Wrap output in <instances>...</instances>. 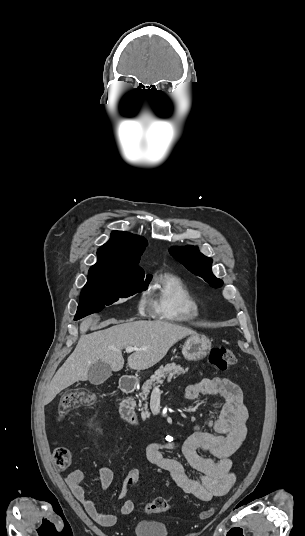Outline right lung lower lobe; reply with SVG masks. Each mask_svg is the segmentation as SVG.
<instances>
[{
    "mask_svg": "<svg viewBox=\"0 0 305 536\" xmlns=\"http://www.w3.org/2000/svg\"><path fill=\"white\" fill-rule=\"evenodd\" d=\"M74 320H78V318L75 317Z\"/></svg>",
    "mask_w": 305,
    "mask_h": 536,
    "instance_id": "right-lung-lower-lobe-1",
    "label": "right lung lower lobe"
}]
</instances>
